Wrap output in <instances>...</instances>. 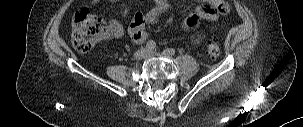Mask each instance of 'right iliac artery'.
I'll use <instances>...</instances> for the list:
<instances>
[{"mask_svg":"<svg viewBox=\"0 0 303 127\" xmlns=\"http://www.w3.org/2000/svg\"><path fill=\"white\" fill-rule=\"evenodd\" d=\"M155 47H156V43L153 40L148 41L146 44V48L148 50H153L155 49Z\"/></svg>","mask_w":303,"mask_h":127,"instance_id":"82829eb1","label":"right iliac artery"}]
</instances>
